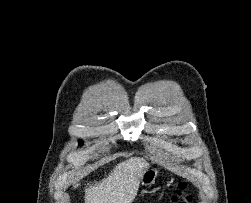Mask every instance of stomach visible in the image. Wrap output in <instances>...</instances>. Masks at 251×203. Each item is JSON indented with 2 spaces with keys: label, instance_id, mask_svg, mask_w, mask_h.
Returning <instances> with one entry per match:
<instances>
[{
  "label": "stomach",
  "instance_id": "stomach-1",
  "mask_svg": "<svg viewBox=\"0 0 251 203\" xmlns=\"http://www.w3.org/2000/svg\"><path fill=\"white\" fill-rule=\"evenodd\" d=\"M157 176H158L157 169H155V168L147 169L144 172V174L140 180V183L142 184V186L150 187L151 185H153L155 183Z\"/></svg>",
  "mask_w": 251,
  "mask_h": 203
}]
</instances>
